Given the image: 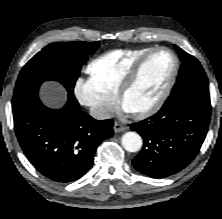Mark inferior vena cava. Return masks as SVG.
Here are the masks:
<instances>
[{
	"label": "inferior vena cava",
	"instance_id": "602c4592",
	"mask_svg": "<svg viewBox=\"0 0 222 219\" xmlns=\"http://www.w3.org/2000/svg\"><path fill=\"white\" fill-rule=\"evenodd\" d=\"M90 115L95 119H108L112 116L111 111L101 107H91Z\"/></svg>",
	"mask_w": 222,
	"mask_h": 219
}]
</instances>
